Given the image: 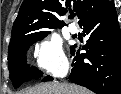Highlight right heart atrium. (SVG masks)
<instances>
[{"instance_id":"obj_1","label":"right heart atrium","mask_w":121,"mask_h":94,"mask_svg":"<svg viewBox=\"0 0 121 94\" xmlns=\"http://www.w3.org/2000/svg\"><path fill=\"white\" fill-rule=\"evenodd\" d=\"M34 60L41 70L55 76L64 75L69 68L61 41L56 35L46 38L35 48Z\"/></svg>"}]
</instances>
